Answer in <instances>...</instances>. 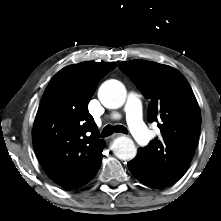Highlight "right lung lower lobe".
Returning a JSON list of instances; mask_svg holds the SVG:
<instances>
[{
  "mask_svg": "<svg viewBox=\"0 0 221 221\" xmlns=\"http://www.w3.org/2000/svg\"><path fill=\"white\" fill-rule=\"evenodd\" d=\"M101 164V162H100ZM100 164L96 167V169L93 171L92 175L90 176L89 180L87 181V183L95 176V174L97 173L99 167H100Z\"/></svg>",
  "mask_w": 221,
  "mask_h": 221,
  "instance_id": "98d812e1",
  "label": "right lung lower lobe"
}]
</instances>
